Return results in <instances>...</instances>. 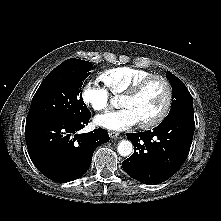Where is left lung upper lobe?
<instances>
[{
	"label": "left lung upper lobe",
	"mask_w": 221,
	"mask_h": 221,
	"mask_svg": "<svg viewBox=\"0 0 221 221\" xmlns=\"http://www.w3.org/2000/svg\"><path fill=\"white\" fill-rule=\"evenodd\" d=\"M167 74L172 86L173 100L171 110L163 121L177 117L194 118L193 98L188 89L184 83L171 72L168 71Z\"/></svg>",
	"instance_id": "5c2ea615"
}]
</instances>
